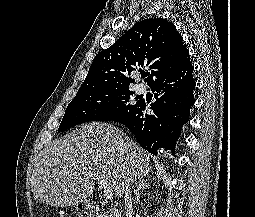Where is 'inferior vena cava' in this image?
<instances>
[{"label":"inferior vena cava","instance_id":"inferior-vena-cava-1","mask_svg":"<svg viewBox=\"0 0 255 217\" xmlns=\"http://www.w3.org/2000/svg\"><path fill=\"white\" fill-rule=\"evenodd\" d=\"M131 184L128 182L124 191V200H125V209H126V217H133V206H132V198H131Z\"/></svg>","mask_w":255,"mask_h":217}]
</instances>
